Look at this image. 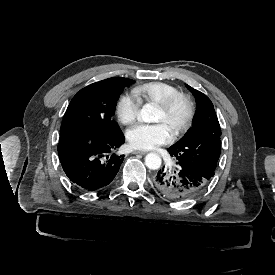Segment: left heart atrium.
<instances>
[{
  "instance_id": "39dd6f15",
  "label": "left heart atrium",
  "mask_w": 275,
  "mask_h": 275,
  "mask_svg": "<svg viewBox=\"0 0 275 275\" xmlns=\"http://www.w3.org/2000/svg\"><path fill=\"white\" fill-rule=\"evenodd\" d=\"M126 138L131 148L149 150L170 142L173 133L161 122L138 123L126 132Z\"/></svg>"
}]
</instances>
